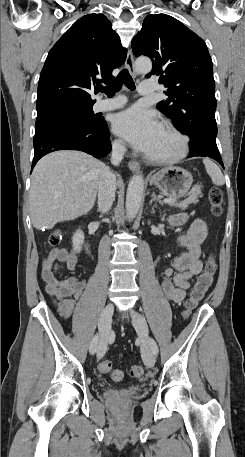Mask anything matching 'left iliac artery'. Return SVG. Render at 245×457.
<instances>
[{"mask_svg":"<svg viewBox=\"0 0 245 457\" xmlns=\"http://www.w3.org/2000/svg\"><path fill=\"white\" fill-rule=\"evenodd\" d=\"M149 344L152 352L156 355L158 353V346L153 339H149Z\"/></svg>","mask_w":245,"mask_h":457,"instance_id":"obj_1","label":"left iliac artery"}]
</instances>
